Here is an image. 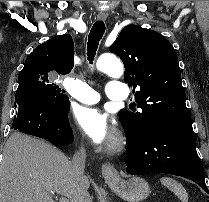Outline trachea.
Here are the masks:
<instances>
[{
    "instance_id": "3493384b",
    "label": "trachea",
    "mask_w": 209,
    "mask_h": 202,
    "mask_svg": "<svg viewBox=\"0 0 209 202\" xmlns=\"http://www.w3.org/2000/svg\"><path fill=\"white\" fill-rule=\"evenodd\" d=\"M105 32V24L103 21L98 20L94 23L89 33L88 43H87V56L90 64L93 63L96 51L99 45V41Z\"/></svg>"
}]
</instances>
